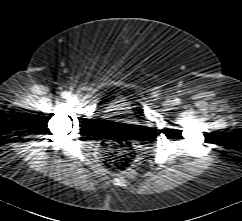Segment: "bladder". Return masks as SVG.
Wrapping results in <instances>:
<instances>
[{"mask_svg":"<svg viewBox=\"0 0 242 221\" xmlns=\"http://www.w3.org/2000/svg\"><path fill=\"white\" fill-rule=\"evenodd\" d=\"M132 109L131 105L125 101H117L112 104L107 105L106 110L109 113L119 114L123 112L130 111Z\"/></svg>","mask_w":242,"mask_h":221,"instance_id":"31cf9c89","label":"bladder"}]
</instances>
